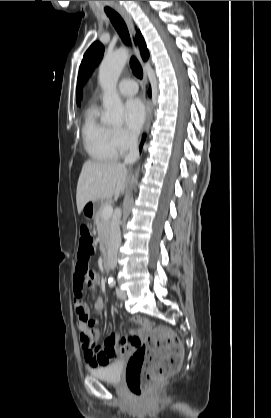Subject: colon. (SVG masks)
Listing matches in <instances>:
<instances>
[{
  "label": "colon",
  "mask_w": 271,
  "mask_h": 418,
  "mask_svg": "<svg viewBox=\"0 0 271 418\" xmlns=\"http://www.w3.org/2000/svg\"><path fill=\"white\" fill-rule=\"evenodd\" d=\"M94 252V239L90 228H79V260H89ZM146 324V323H145ZM183 350L175 334L165 327L151 329L146 342L129 358L126 382L135 396H142L153 383L175 373L182 361Z\"/></svg>",
  "instance_id": "5ec220e1"
}]
</instances>
